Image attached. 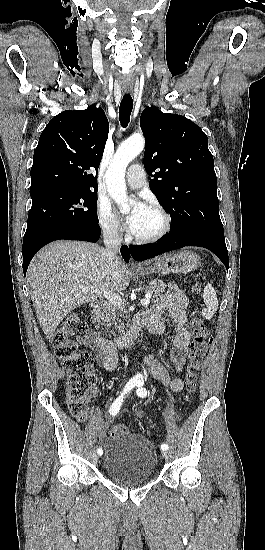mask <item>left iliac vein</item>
Here are the masks:
<instances>
[{
    "instance_id": "obj_1",
    "label": "left iliac vein",
    "mask_w": 265,
    "mask_h": 550,
    "mask_svg": "<svg viewBox=\"0 0 265 550\" xmlns=\"http://www.w3.org/2000/svg\"><path fill=\"white\" fill-rule=\"evenodd\" d=\"M162 454H163V456H164L166 459H167L168 456H169V454H168V452H167L166 450H163Z\"/></svg>"
}]
</instances>
